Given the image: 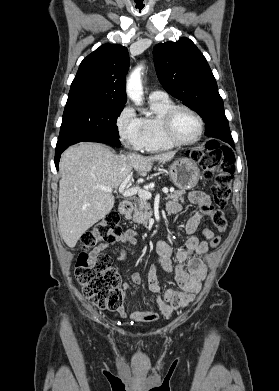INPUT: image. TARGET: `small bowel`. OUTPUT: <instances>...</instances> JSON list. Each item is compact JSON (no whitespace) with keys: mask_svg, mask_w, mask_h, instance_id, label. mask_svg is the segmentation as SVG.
<instances>
[{"mask_svg":"<svg viewBox=\"0 0 279 391\" xmlns=\"http://www.w3.org/2000/svg\"><path fill=\"white\" fill-rule=\"evenodd\" d=\"M189 200L199 205L201 208H209L211 206L210 198L207 194L194 191L189 195ZM167 211L176 214L181 210V205L177 202L170 201L166 205ZM203 211L194 214L186 223V233L189 235L184 249L178 250L174 255L171 247L164 241L160 240L157 243V258L150 265L147 273L149 290L156 296V305L158 311L148 309L141 311L136 307H132L133 311L127 313L124 306H121L116 316L121 319H129L137 323H149L156 321L159 317L169 318L176 312L187 307L201 291L202 282L207 274V266L199 257H192L193 255L202 256L209 251V244L206 240H199L195 235V231L203 218ZM205 239L210 240L215 237L214 232L208 228L203 230ZM118 241L122 243H135L136 235L133 231H126L122 233ZM107 244L102 243L97 245L90 255L96 257L101 254L106 248ZM126 257L123 249L120 250L117 259L122 261ZM186 264V267H185ZM160 266L166 272L174 273L177 282V288H170L166 290L163 297H161V285L157 278V269ZM132 281L139 285L142 282L139 273L132 274ZM127 284L124 288H127Z\"/></svg>","mask_w":279,"mask_h":391,"instance_id":"small-bowel-1","label":"small bowel"}]
</instances>
